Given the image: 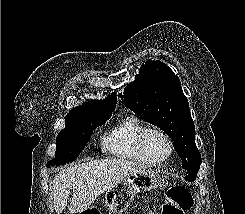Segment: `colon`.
Segmentation results:
<instances>
[{
	"label": "colon",
	"mask_w": 245,
	"mask_h": 214,
	"mask_svg": "<svg viewBox=\"0 0 245 214\" xmlns=\"http://www.w3.org/2000/svg\"><path fill=\"white\" fill-rule=\"evenodd\" d=\"M193 205V199L184 187H173L165 195L162 214H184L190 210ZM145 214H155L153 211H147Z\"/></svg>",
	"instance_id": "5ec220e1"
}]
</instances>
